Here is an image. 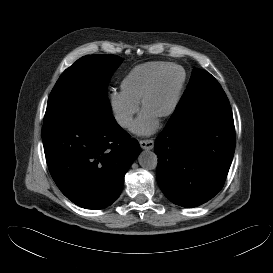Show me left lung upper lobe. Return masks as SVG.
Here are the masks:
<instances>
[{"mask_svg":"<svg viewBox=\"0 0 273 273\" xmlns=\"http://www.w3.org/2000/svg\"><path fill=\"white\" fill-rule=\"evenodd\" d=\"M212 83L211 87L206 90L204 88H200L201 86H205V83ZM224 92L221 88L220 84L217 80L208 72L202 71L200 69H194L190 82L187 86V90L184 92L177 108L175 109V113H179L183 109H185L188 105L193 102L195 97L203 96H216L219 93Z\"/></svg>","mask_w":273,"mask_h":273,"instance_id":"obj_1","label":"left lung upper lobe"}]
</instances>
